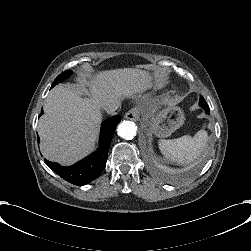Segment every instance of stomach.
Here are the masks:
<instances>
[{
    "instance_id": "1",
    "label": "stomach",
    "mask_w": 251,
    "mask_h": 251,
    "mask_svg": "<svg viewBox=\"0 0 251 251\" xmlns=\"http://www.w3.org/2000/svg\"><path fill=\"white\" fill-rule=\"evenodd\" d=\"M150 110V116L143 111L142 120L157 137H168L184 124V111L166 98L155 99Z\"/></svg>"
}]
</instances>
